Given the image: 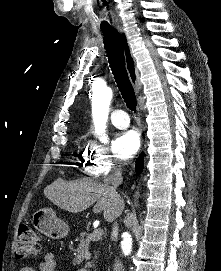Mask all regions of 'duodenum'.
Returning a JSON list of instances; mask_svg holds the SVG:
<instances>
[{"instance_id": "1", "label": "duodenum", "mask_w": 221, "mask_h": 271, "mask_svg": "<svg viewBox=\"0 0 221 271\" xmlns=\"http://www.w3.org/2000/svg\"><path fill=\"white\" fill-rule=\"evenodd\" d=\"M81 271H90V270H88V269H83V270H81Z\"/></svg>"}]
</instances>
